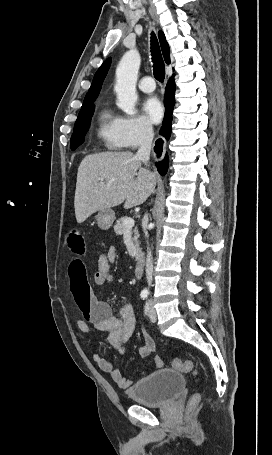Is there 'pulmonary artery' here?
<instances>
[{
  "mask_svg": "<svg viewBox=\"0 0 272 455\" xmlns=\"http://www.w3.org/2000/svg\"><path fill=\"white\" fill-rule=\"evenodd\" d=\"M138 87L141 91L145 93H150L155 90V82L154 79L150 76L143 77L139 83Z\"/></svg>",
  "mask_w": 272,
  "mask_h": 455,
  "instance_id": "pulmonary-artery-1",
  "label": "pulmonary artery"
}]
</instances>
